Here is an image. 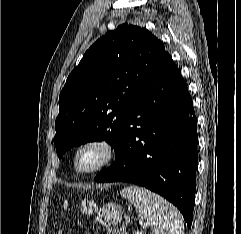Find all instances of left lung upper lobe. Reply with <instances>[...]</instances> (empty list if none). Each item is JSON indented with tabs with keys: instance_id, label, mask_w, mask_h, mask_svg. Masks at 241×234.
<instances>
[{
	"instance_id": "obj_1",
	"label": "left lung upper lobe",
	"mask_w": 241,
	"mask_h": 234,
	"mask_svg": "<svg viewBox=\"0 0 241 234\" xmlns=\"http://www.w3.org/2000/svg\"><path fill=\"white\" fill-rule=\"evenodd\" d=\"M165 52L147 29L127 23L98 39L59 96L54 137L59 158L90 141L105 140L116 151L128 109Z\"/></svg>"
}]
</instances>
